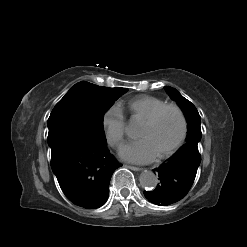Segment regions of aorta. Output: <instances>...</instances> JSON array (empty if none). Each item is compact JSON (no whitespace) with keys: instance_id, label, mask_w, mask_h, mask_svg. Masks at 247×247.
Instances as JSON below:
<instances>
[{"instance_id":"1","label":"aorta","mask_w":247,"mask_h":247,"mask_svg":"<svg viewBox=\"0 0 247 247\" xmlns=\"http://www.w3.org/2000/svg\"><path fill=\"white\" fill-rule=\"evenodd\" d=\"M132 127L128 129V134H131ZM140 184L143 188L152 190L158 184V177L152 171H145L141 173L139 178Z\"/></svg>"}]
</instances>
